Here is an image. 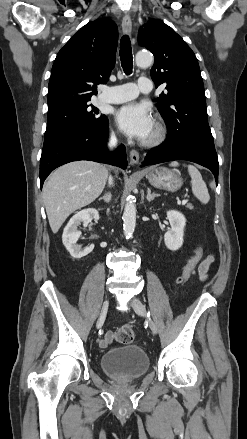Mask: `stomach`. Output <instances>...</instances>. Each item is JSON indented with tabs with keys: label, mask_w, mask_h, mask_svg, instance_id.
Here are the masks:
<instances>
[{
	"label": "stomach",
	"mask_w": 247,
	"mask_h": 439,
	"mask_svg": "<svg viewBox=\"0 0 247 439\" xmlns=\"http://www.w3.org/2000/svg\"><path fill=\"white\" fill-rule=\"evenodd\" d=\"M146 177L152 186L172 192L178 190L183 183L178 173L165 167L151 168Z\"/></svg>",
	"instance_id": "stomach-1"
}]
</instances>
